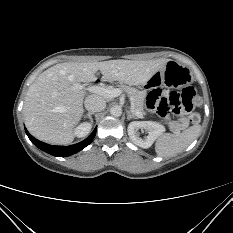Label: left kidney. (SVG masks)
Listing matches in <instances>:
<instances>
[{
    "label": "left kidney",
    "mask_w": 233,
    "mask_h": 233,
    "mask_svg": "<svg viewBox=\"0 0 233 233\" xmlns=\"http://www.w3.org/2000/svg\"><path fill=\"white\" fill-rule=\"evenodd\" d=\"M144 129L148 131L146 138L139 137L137 131ZM128 135L132 142L141 148H149L154 141L165 131L162 124L152 121H133L128 125Z\"/></svg>",
    "instance_id": "left-kidney-1"
}]
</instances>
